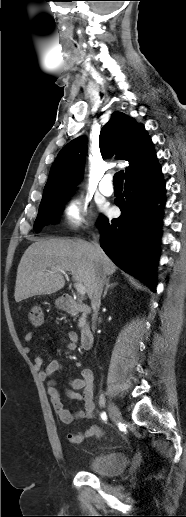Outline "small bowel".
I'll list each match as a JSON object with an SVG mask.
<instances>
[{
    "label": "small bowel",
    "instance_id": "c3829d8e",
    "mask_svg": "<svg viewBox=\"0 0 186 517\" xmlns=\"http://www.w3.org/2000/svg\"><path fill=\"white\" fill-rule=\"evenodd\" d=\"M67 349L75 350L78 345V335L74 331L67 333ZM33 339L32 333L25 335V341L30 342ZM25 351L29 353L31 348L25 347ZM34 366L38 370L39 377L43 380L48 381V394L52 407L59 417L60 421L64 424H71L79 419L92 420L95 418V382L92 371L89 368H83L81 370V376L79 378H71L68 381V387L65 388V394L68 398L73 401L83 402V408L71 412L66 404L61 399V393L58 389L56 382L51 378L53 375L61 372L64 369V365L57 361H50L45 368H42L44 359L42 356L34 357ZM78 391H81L78 392ZM103 435V430L99 425H91L83 432H69L66 434V439L72 444H82L87 438H100Z\"/></svg>",
    "mask_w": 186,
    "mask_h": 517
}]
</instances>
